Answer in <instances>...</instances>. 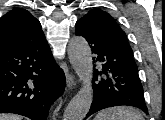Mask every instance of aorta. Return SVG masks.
Wrapping results in <instances>:
<instances>
[{
    "label": "aorta",
    "instance_id": "obj_1",
    "mask_svg": "<svg viewBox=\"0 0 165 120\" xmlns=\"http://www.w3.org/2000/svg\"><path fill=\"white\" fill-rule=\"evenodd\" d=\"M69 61L82 87L66 107L63 120H83L88 113L93 100V64L90 47L80 36L74 37L68 45Z\"/></svg>",
    "mask_w": 165,
    "mask_h": 120
}]
</instances>
